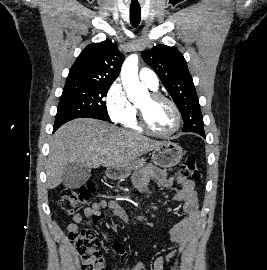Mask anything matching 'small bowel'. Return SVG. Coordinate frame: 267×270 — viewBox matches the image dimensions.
I'll use <instances>...</instances> for the list:
<instances>
[{
	"instance_id": "obj_1",
	"label": "small bowel",
	"mask_w": 267,
	"mask_h": 270,
	"mask_svg": "<svg viewBox=\"0 0 267 270\" xmlns=\"http://www.w3.org/2000/svg\"><path fill=\"white\" fill-rule=\"evenodd\" d=\"M150 178L158 180L165 187L170 186L173 181V179L168 177L163 170L154 166H147L136 173L134 184L139 189H143L146 187ZM177 183L179 184V188L173 197V200L182 202L184 217L170 227L167 236L176 244V248H181L186 245L195 233L199 220V211L194 182L179 178ZM105 208L110 209L112 214L116 217L122 219L126 217L125 210L116 201H96L85 207L81 213L74 215L72 222L68 225V229H78V224H80L84 218H90L95 223H99L104 218L102 210ZM112 251L122 259L126 256L125 249L121 243H114ZM174 255L175 250L168 253L165 257L158 256L153 263L154 270H166L168 262ZM131 270H144V265L143 263L138 262Z\"/></svg>"
}]
</instances>
